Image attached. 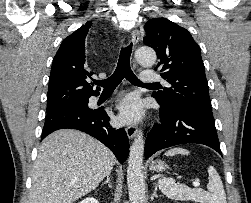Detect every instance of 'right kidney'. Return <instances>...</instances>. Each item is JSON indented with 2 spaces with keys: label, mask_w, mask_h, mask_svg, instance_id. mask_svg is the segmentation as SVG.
<instances>
[{
  "label": "right kidney",
  "mask_w": 251,
  "mask_h": 203,
  "mask_svg": "<svg viewBox=\"0 0 251 203\" xmlns=\"http://www.w3.org/2000/svg\"><path fill=\"white\" fill-rule=\"evenodd\" d=\"M78 203H99V202L95 198L88 197Z\"/></svg>",
  "instance_id": "obj_1"
}]
</instances>
